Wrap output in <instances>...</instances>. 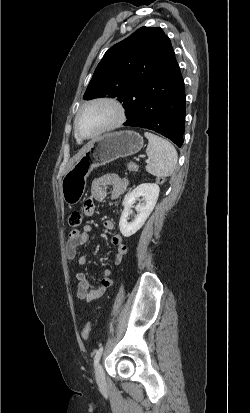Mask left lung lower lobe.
<instances>
[{
    "label": "left lung lower lobe",
    "mask_w": 250,
    "mask_h": 413,
    "mask_svg": "<svg viewBox=\"0 0 250 413\" xmlns=\"http://www.w3.org/2000/svg\"><path fill=\"white\" fill-rule=\"evenodd\" d=\"M167 61L163 74L144 80L133 102L126 104L128 120L124 125L153 130L181 147L185 130L184 81L173 50Z\"/></svg>",
    "instance_id": "0a47b994"
}]
</instances>
